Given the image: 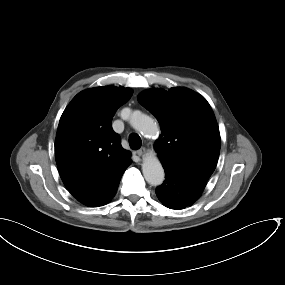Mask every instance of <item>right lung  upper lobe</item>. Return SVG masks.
Returning <instances> with one entry per match:
<instances>
[{
  "mask_svg": "<svg viewBox=\"0 0 285 285\" xmlns=\"http://www.w3.org/2000/svg\"><path fill=\"white\" fill-rule=\"evenodd\" d=\"M132 94L129 88H91L77 94L60 118L57 167L69 192L87 206L107 203L130 164L131 153L122 148L111 122Z\"/></svg>",
  "mask_w": 285,
  "mask_h": 285,
  "instance_id": "cb5924a9",
  "label": "right lung upper lobe"
}]
</instances>
